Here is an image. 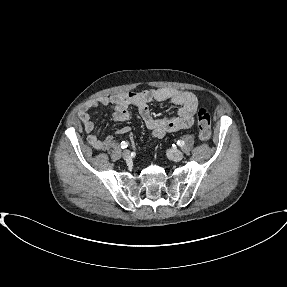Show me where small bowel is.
Segmentation results:
<instances>
[{"mask_svg": "<svg viewBox=\"0 0 287 287\" xmlns=\"http://www.w3.org/2000/svg\"><path fill=\"white\" fill-rule=\"evenodd\" d=\"M169 101L180 106L177 115L172 118L154 117L148 107L150 102ZM99 106L110 107L113 119L118 122L128 121L131 118L129 108L137 107L139 114L153 136L162 138L167 133L188 129L194 124V114L198 107L197 97L185 90L171 88L148 89L138 92L120 93L112 96H100L85 104L78 113L87 133V141L96 150H106L113 143L111 135L100 138L91 119L90 110ZM118 134H130V127L124 126L117 130Z\"/></svg>", "mask_w": 287, "mask_h": 287, "instance_id": "small-bowel-1", "label": "small bowel"}]
</instances>
